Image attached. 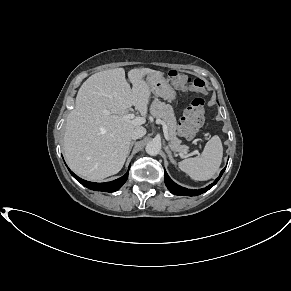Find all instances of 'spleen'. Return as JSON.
I'll use <instances>...</instances> for the list:
<instances>
[{
  "instance_id": "1",
  "label": "spleen",
  "mask_w": 291,
  "mask_h": 291,
  "mask_svg": "<svg viewBox=\"0 0 291 291\" xmlns=\"http://www.w3.org/2000/svg\"><path fill=\"white\" fill-rule=\"evenodd\" d=\"M223 157V146L219 136H213L205 145L201 156L179 162V168L192 179L205 181L218 171Z\"/></svg>"
}]
</instances>
